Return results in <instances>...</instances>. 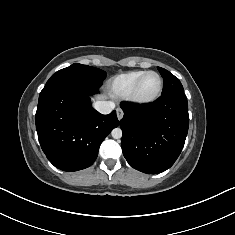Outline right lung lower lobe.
<instances>
[{
  "label": "right lung lower lobe",
  "mask_w": 235,
  "mask_h": 235,
  "mask_svg": "<svg viewBox=\"0 0 235 235\" xmlns=\"http://www.w3.org/2000/svg\"><path fill=\"white\" fill-rule=\"evenodd\" d=\"M98 89L77 81L45 85L39 95L36 129L48 160L63 171L91 166L106 136L119 125L116 111L102 115L91 106Z\"/></svg>",
  "instance_id": "right-lung-lower-lobe-1"
}]
</instances>
